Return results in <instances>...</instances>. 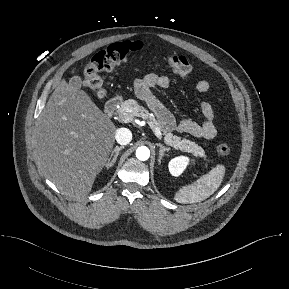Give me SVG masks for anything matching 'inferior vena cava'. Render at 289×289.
I'll list each match as a JSON object with an SVG mask.
<instances>
[{"instance_id": "1", "label": "inferior vena cava", "mask_w": 289, "mask_h": 289, "mask_svg": "<svg viewBox=\"0 0 289 289\" xmlns=\"http://www.w3.org/2000/svg\"><path fill=\"white\" fill-rule=\"evenodd\" d=\"M115 139L120 145H127L132 140V133L127 128H119L116 130Z\"/></svg>"}]
</instances>
